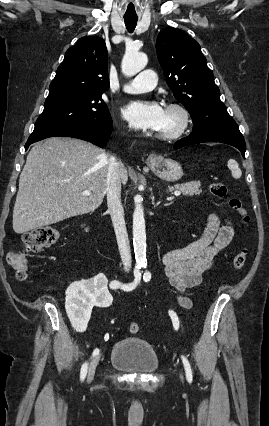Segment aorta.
Returning <instances> with one entry per match:
<instances>
[{"label":"aorta","mask_w":269,"mask_h":426,"mask_svg":"<svg viewBox=\"0 0 269 426\" xmlns=\"http://www.w3.org/2000/svg\"><path fill=\"white\" fill-rule=\"evenodd\" d=\"M148 58L145 54L128 51L122 60V72L126 76H133L145 68ZM133 246L136 262L144 264L146 261V232L145 219L141 196L135 197V210L133 214Z\"/></svg>","instance_id":"obj_1"}]
</instances>
